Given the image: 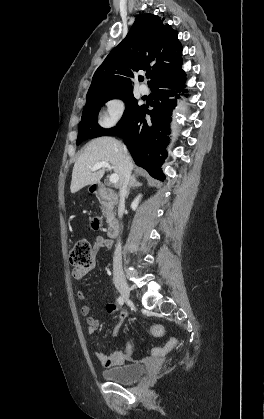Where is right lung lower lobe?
Here are the masks:
<instances>
[{"instance_id":"98d812e1","label":"right lung lower lobe","mask_w":264,"mask_h":419,"mask_svg":"<svg viewBox=\"0 0 264 419\" xmlns=\"http://www.w3.org/2000/svg\"><path fill=\"white\" fill-rule=\"evenodd\" d=\"M184 79V72H179L156 80L150 86L155 94V101L151 105L154 109L148 110L147 105L139 106L116 128L105 134L123 138L135 163L161 181L165 179L160 166L166 158L165 145L170 133L172 110L176 106L175 98L179 97L177 93L183 90ZM146 114L151 116L150 120L145 119Z\"/></svg>"}]
</instances>
